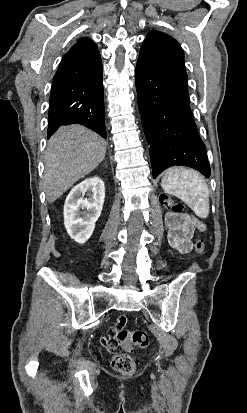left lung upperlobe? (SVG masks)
<instances>
[{"label":"left lung upper lobe","mask_w":247,"mask_h":413,"mask_svg":"<svg viewBox=\"0 0 247 413\" xmlns=\"http://www.w3.org/2000/svg\"><path fill=\"white\" fill-rule=\"evenodd\" d=\"M141 48L152 50L185 67L183 49L174 38L165 33L150 32L143 41Z\"/></svg>","instance_id":"1"}]
</instances>
